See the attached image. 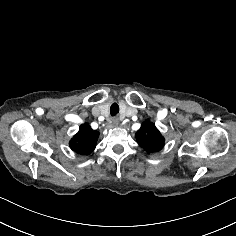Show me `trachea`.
<instances>
[{
	"mask_svg": "<svg viewBox=\"0 0 236 236\" xmlns=\"http://www.w3.org/2000/svg\"><path fill=\"white\" fill-rule=\"evenodd\" d=\"M111 117L116 116L119 112V106L116 102H114L110 107Z\"/></svg>",
	"mask_w": 236,
	"mask_h": 236,
	"instance_id": "obj_1",
	"label": "trachea"
}]
</instances>
